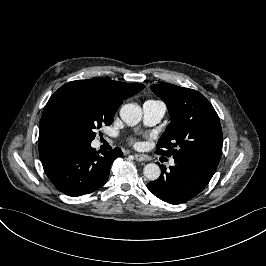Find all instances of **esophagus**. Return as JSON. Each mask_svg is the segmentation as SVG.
<instances>
[{"mask_svg": "<svg viewBox=\"0 0 266 266\" xmlns=\"http://www.w3.org/2000/svg\"><path fill=\"white\" fill-rule=\"evenodd\" d=\"M134 157H135L136 161H146L147 160L146 156L143 154L135 153Z\"/></svg>", "mask_w": 266, "mask_h": 266, "instance_id": "esophagus-1", "label": "esophagus"}]
</instances>
